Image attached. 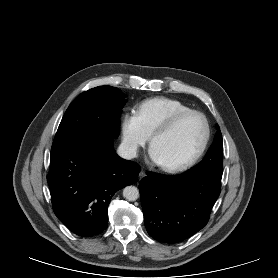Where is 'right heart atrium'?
<instances>
[{
	"instance_id": "1",
	"label": "right heart atrium",
	"mask_w": 278,
	"mask_h": 278,
	"mask_svg": "<svg viewBox=\"0 0 278 278\" xmlns=\"http://www.w3.org/2000/svg\"><path fill=\"white\" fill-rule=\"evenodd\" d=\"M121 144L129 156H136L147 143L150 134L144 128L138 114L129 111L122 114L120 119Z\"/></svg>"
}]
</instances>
